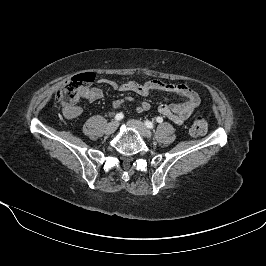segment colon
Here are the masks:
<instances>
[{"label":"colon","mask_w":266,"mask_h":266,"mask_svg":"<svg viewBox=\"0 0 266 266\" xmlns=\"http://www.w3.org/2000/svg\"><path fill=\"white\" fill-rule=\"evenodd\" d=\"M94 74L85 73L72 77L57 93L56 97L63 106L64 111L70 112L79 102L83 90L94 81ZM208 124L206 119L198 115L191 127L190 134L199 137L207 132Z\"/></svg>","instance_id":"obj_1"}]
</instances>
